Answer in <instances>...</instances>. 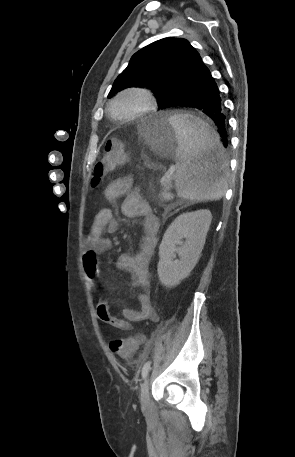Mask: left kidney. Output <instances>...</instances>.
I'll return each instance as SVG.
<instances>
[{"instance_id": "1", "label": "left kidney", "mask_w": 295, "mask_h": 457, "mask_svg": "<svg viewBox=\"0 0 295 457\" xmlns=\"http://www.w3.org/2000/svg\"><path fill=\"white\" fill-rule=\"evenodd\" d=\"M211 220L209 210H198L183 213L170 224L159 247L157 271L164 286H177L193 270L203 250ZM176 254L179 260H174Z\"/></svg>"}]
</instances>
